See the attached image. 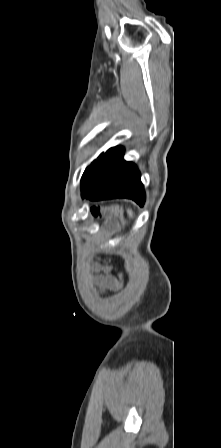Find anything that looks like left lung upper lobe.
I'll return each mask as SVG.
<instances>
[{
	"label": "left lung upper lobe",
	"mask_w": 221,
	"mask_h": 448,
	"mask_svg": "<svg viewBox=\"0 0 221 448\" xmlns=\"http://www.w3.org/2000/svg\"><path fill=\"white\" fill-rule=\"evenodd\" d=\"M116 148V147H115ZM115 148H111V149H109V150H113V149H115ZM104 155V153H102L98 158H97V160H99L102 156ZM97 160H95L93 163H95ZM92 163V164H93Z\"/></svg>",
	"instance_id": "obj_1"
}]
</instances>
